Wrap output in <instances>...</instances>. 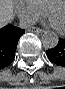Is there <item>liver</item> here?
<instances>
[{"instance_id": "liver-1", "label": "liver", "mask_w": 65, "mask_h": 89, "mask_svg": "<svg viewBox=\"0 0 65 89\" xmlns=\"http://www.w3.org/2000/svg\"><path fill=\"white\" fill-rule=\"evenodd\" d=\"M13 17V6L8 0L0 1V23L5 24Z\"/></svg>"}]
</instances>
